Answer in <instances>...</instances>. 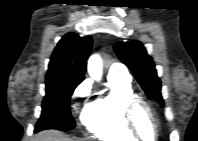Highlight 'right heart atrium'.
Returning <instances> with one entry per match:
<instances>
[{
    "label": "right heart atrium",
    "mask_w": 198,
    "mask_h": 141,
    "mask_svg": "<svg viewBox=\"0 0 198 141\" xmlns=\"http://www.w3.org/2000/svg\"><path fill=\"white\" fill-rule=\"evenodd\" d=\"M91 85L88 81H84L77 86L73 92V98L85 101L90 95Z\"/></svg>",
    "instance_id": "1"
}]
</instances>
